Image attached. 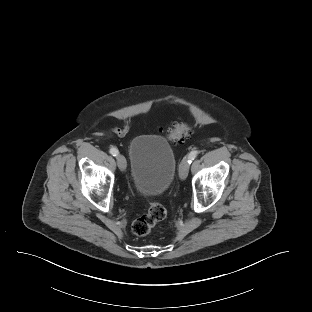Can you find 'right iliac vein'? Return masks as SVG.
I'll return each mask as SVG.
<instances>
[{
    "instance_id": "63e3f726",
    "label": "right iliac vein",
    "mask_w": 312,
    "mask_h": 312,
    "mask_svg": "<svg viewBox=\"0 0 312 312\" xmlns=\"http://www.w3.org/2000/svg\"><path fill=\"white\" fill-rule=\"evenodd\" d=\"M117 164H118V167L121 171H124L126 169L127 163H126V159L123 155L117 156Z\"/></svg>"
}]
</instances>
